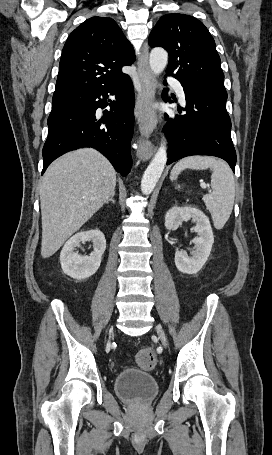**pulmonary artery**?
I'll use <instances>...</instances> for the list:
<instances>
[{"instance_id": "obj_1", "label": "pulmonary artery", "mask_w": 272, "mask_h": 455, "mask_svg": "<svg viewBox=\"0 0 272 455\" xmlns=\"http://www.w3.org/2000/svg\"><path fill=\"white\" fill-rule=\"evenodd\" d=\"M167 81H168L169 84H171L175 88L179 98L182 101H184L185 100V93H184V89H183L181 83L177 79H175L173 77H168Z\"/></svg>"}]
</instances>
